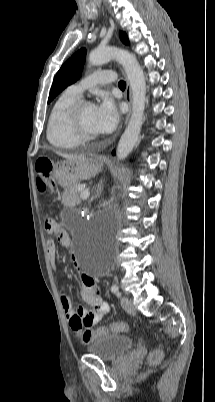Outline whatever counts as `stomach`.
I'll return each instance as SVG.
<instances>
[{
	"label": "stomach",
	"instance_id": "obj_1",
	"mask_svg": "<svg viewBox=\"0 0 215 402\" xmlns=\"http://www.w3.org/2000/svg\"><path fill=\"white\" fill-rule=\"evenodd\" d=\"M102 162L96 157L79 156L76 159L59 161L53 165V177L62 187H71L82 180L97 175Z\"/></svg>",
	"mask_w": 215,
	"mask_h": 402
}]
</instances>
